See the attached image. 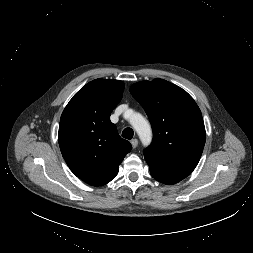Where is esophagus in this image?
Segmentation results:
<instances>
[{
	"label": "esophagus",
	"mask_w": 253,
	"mask_h": 253,
	"mask_svg": "<svg viewBox=\"0 0 253 253\" xmlns=\"http://www.w3.org/2000/svg\"><path fill=\"white\" fill-rule=\"evenodd\" d=\"M131 145L133 148H136L138 146V140L137 139H132L131 141Z\"/></svg>",
	"instance_id": "obj_1"
}]
</instances>
